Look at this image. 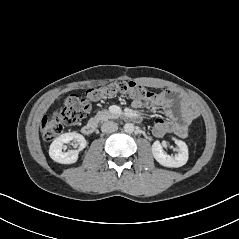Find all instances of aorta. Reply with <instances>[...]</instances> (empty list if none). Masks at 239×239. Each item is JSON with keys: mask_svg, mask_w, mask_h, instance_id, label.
<instances>
[{"mask_svg": "<svg viewBox=\"0 0 239 239\" xmlns=\"http://www.w3.org/2000/svg\"><path fill=\"white\" fill-rule=\"evenodd\" d=\"M134 129H135V126H134V124H132V123H126V124L124 125V131H125L126 133H132V132L134 131Z\"/></svg>", "mask_w": 239, "mask_h": 239, "instance_id": "762f6f07", "label": "aorta"}]
</instances>
